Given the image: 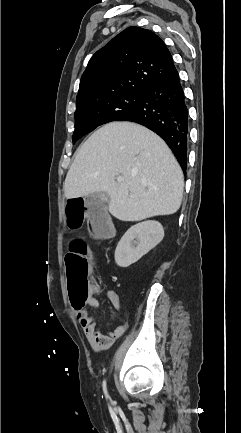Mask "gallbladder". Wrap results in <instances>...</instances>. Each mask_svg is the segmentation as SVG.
Segmentation results:
<instances>
[{
  "label": "gallbladder",
  "instance_id": "obj_1",
  "mask_svg": "<svg viewBox=\"0 0 241 433\" xmlns=\"http://www.w3.org/2000/svg\"><path fill=\"white\" fill-rule=\"evenodd\" d=\"M89 200H97L98 202L104 203L108 200V196L105 192H95L87 196ZM99 208V206H97ZM92 210L93 208L90 207ZM97 209V208H96ZM100 209H102L106 213L107 207L104 204H101Z\"/></svg>",
  "mask_w": 241,
  "mask_h": 433
}]
</instances>
